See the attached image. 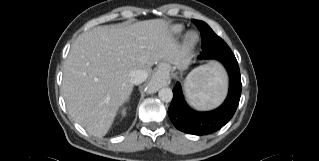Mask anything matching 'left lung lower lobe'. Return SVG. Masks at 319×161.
Listing matches in <instances>:
<instances>
[{"label":"left lung lower lobe","mask_w":319,"mask_h":161,"mask_svg":"<svg viewBox=\"0 0 319 161\" xmlns=\"http://www.w3.org/2000/svg\"><path fill=\"white\" fill-rule=\"evenodd\" d=\"M212 31L210 29L208 34ZM217 60L224 65L229 75L230 85L226 100L215 110L208 112L194 111L186 105L181 84L177 82L173 89V99L168 109V115L178 130L188 134L207 135L222 128L233 117L241 96V77L238 62L235 56Z\"/></svg>","instance_id":"obj_1"}]
</instances>
